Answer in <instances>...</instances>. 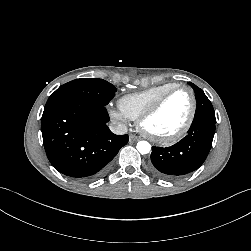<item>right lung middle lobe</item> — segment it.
Instances as JSON below:
<instances>
[{"label":"right lung middle lobe","instance_id":"dd1d6c3e","mask_svg":"<svg viewBox=\"0 0 251 251\" xmlns=\"http://www.w3.org/2000/svg\"><path fill=\"white\" fill-rule=\"evenodd\" d=\"M116 88L111 83L97 78H81L60 86L48 99L47 104L62 99H82L106 106L113 98Z\"/></svg>","mask_w":251,"mask_h":251}]
</instances>
